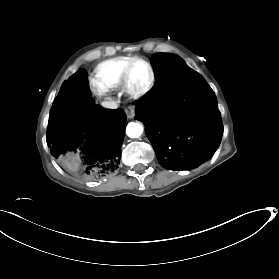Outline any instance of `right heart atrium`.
Here are the masks:
<instances>
[{
  "mask_svg": "<svg viewBox=\"0 0 279 279\" xmlns=\"http://www.w3.org/2000/svg\"><path fill=\"white\" fill-rule=\"evenodd\" d=\"M96 88H97V91H99V92H101V91H102L100 88H98V87H96Z\"/></svg>",
  "mask_w": 279,
  "mask_h": 279,
  "instance_id": "right-heart-atrium-1",
  "label": "right heart atrium"
}]
</instances>
